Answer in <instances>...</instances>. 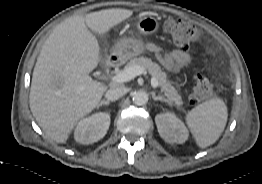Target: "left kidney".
Returning a JSON list of instances; mask_svg holds the SVG:
<instances>
[{
	"instance_id": "5707ae66",
	"label": "left kidney",
	"mask_w": 262,
	"mask_h": 184,
	"mask_svg": "<svg viewBox=\"0 0 262 184\" xmlns=\"http://www.w3.org/2000/svg\"><path fill=\"white\" fill-rule=\"evenodd\" d=\"M155 123L160 136L168 143H184L189 137L188 129L173 113L156 115Z\"/></svg>"
}]
</instances>
